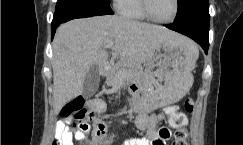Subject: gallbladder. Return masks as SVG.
I'll return each instance as SVG.
<instances>
[{
	"label": "gallbladder",
	"instance_id": "1",
	"mask_svg": "<svg viewBox=\"0 0 243 145\" xmlns=\"http://www.w3.org/2000/svg\"><path fill=\"white\" fill-rule=\"evenodd\" d=\"M99 81V68L97 65H92L84 79L82 95L85 98L92 97L98 89Z\"/></svg>",
	"mask_w": 243,
	"mask_h": 145
}]
</instances>
